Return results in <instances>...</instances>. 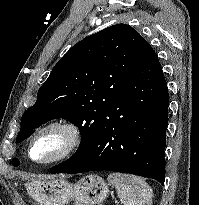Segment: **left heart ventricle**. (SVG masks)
Returning <instances> with one entry per match:
<instances>
[{
  "instance_id": "1",
  "label": "left heart ventricle",
  "mask_w": 199,
  "mask_h": 205,
  "mask_svg": "<svg viewBox=\"0 0 199 205\" xmlns=\"http://www.w3.org/2000/svg\"><path fill=\"white\" fill-rule=\"evenodd\" d=\"M62 145V136L58 132H50L42 136L34 145L33 157L43 160L54 155Z\"/></svg>"
}]
</instances>
